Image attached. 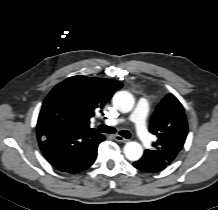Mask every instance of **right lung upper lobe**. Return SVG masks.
I'll use <instances>...</instances> for the list:
<instances>
[{
    "label": "right lung upper lobe",
    "instance_id": "1",
    "mask_svg": "<svg viewBox=\"0 0 218 210\" xmlns=\"http://www.w3.org/2000/svg\"><path fill=\"white\" fill-rule=\"evenodd\" d=\"M121 87L116 80L73 76L55 86L47 99L60 102L70 111L74 130L95 131L89 127L90 118Z\"/></svg>",
    "mask_w": 218,
    "mask_h": 210
}]
</instances>
